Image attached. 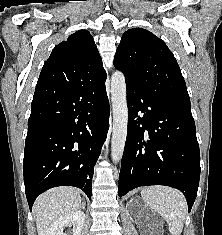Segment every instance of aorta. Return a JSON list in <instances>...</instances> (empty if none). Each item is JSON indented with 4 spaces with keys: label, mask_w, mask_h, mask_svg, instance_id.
<instances>
[{
    "label": "aorta",
    "mask_w": 222,
    "mask_h": 235,
    "mask_svg": "<svg viewBox=\"0 0 222 235\" xmlns=\"http://www.w3.org/2000/svg\"><path fill=\"white\" fill-rule=\"evenodd\" d=\"M111 96L113 108V132L111 139V157L113 162L121 160L128 128V108L124 74L116 71L111 77Z\"/></svg>",
    "instance_id": "762f6f07"
}]
</instances>
